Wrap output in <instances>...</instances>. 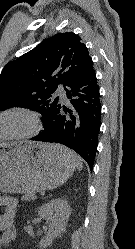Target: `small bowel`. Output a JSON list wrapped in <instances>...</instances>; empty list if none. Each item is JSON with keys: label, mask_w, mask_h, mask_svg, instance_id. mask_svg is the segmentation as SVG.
Returning <instances> with one entry per match:
<instances>
[{"label": "small bowel", "mask_w": 135, "mask_h": 249, "mask_svg": "<svg viewBox=\"0 0 135 249\" xmlns=\"http://www.w3.org/2000/svg\"><path fill=\"white\" fill-rule=\"evenodd\" d=\"M0 206L4 207V212L0 214V249L9 245L17 237L15 227V215L18 201L11 196H0Z\"/></svg>", "instance_id": "c3829d8e"}]
</instances>
